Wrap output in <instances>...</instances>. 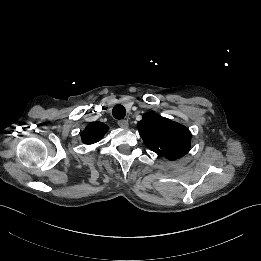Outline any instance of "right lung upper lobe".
<instances>
[{"label": "right lung upper lobe", "mask_w": 261, "mask_h": 261, "mask_svg": "<svg viewBox=\"0 0 261 261\" xmlns=\"http://www.w3.org/2000/svg\"><path fill=\"white\" fill-rule=\"evenodd\" d=\"M108 127L101 122H92L81 133V138L85 144H93L101 140L104 134L107 132Z\"/></svg>", "instance_id": "cb5924a9"}]
</instances>
